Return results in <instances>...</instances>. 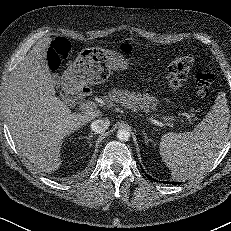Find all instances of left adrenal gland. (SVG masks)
<instances>
[{"instance_id":"left-adrenal-gland-1","label":"left adrenal gland","mask_w":231,"mask_h":231,"mask_svg":"<svg viewBox=\"0 0 231 231\" xmlns=\"http://www.w3.org/2000/svg\"><path fill=\"white\" fill-rule=\"evenodd\" d=\"M142 134H143L145 143H148L149 141L153 142L151 138H148L147 133H145L144 130L142 131Z\"/></svg>"}]
</instances>
